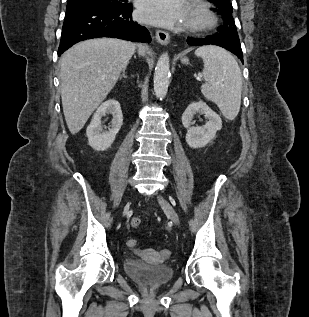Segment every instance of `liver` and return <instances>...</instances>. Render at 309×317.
Instances as JSON below:
<instances>
[{
    "label": "liver",
    "instance_id": "obj_1",
    "mask_svg": "<svg viewBox=\"0 0 309 317\" xmlns=\"http://www.w3.org/2000/svg\"><path fill=\"white\" fill-rule=\"evenodd\" d=\"M136 50L134 43L114 38L80 42L60 59L61 98L66 124L78 133L115 86ZM148 47L138 45L139 55Z\"/></svg>",
    "mask_w": 309,
    "mask_h": 317
}]
</instances>
